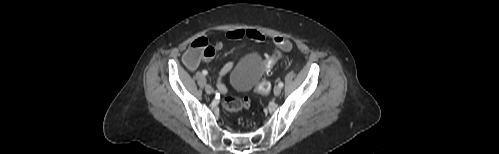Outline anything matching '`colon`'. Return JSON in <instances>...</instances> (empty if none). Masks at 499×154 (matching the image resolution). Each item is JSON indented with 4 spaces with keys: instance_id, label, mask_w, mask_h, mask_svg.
I'll use <instances>...</instances> for the list:
<instances>
[{
    "instance_id": "5ec220e1",
    "label": "colon",
    "mask_w": 499,
    "mask_h": 154,
    "mask_svg": "<svg viewBox=\"0 0 499 154\" xmlns=\"http://www.w3.org/2000/svg\"><path fill=\"white\" fill-rule=\"evenodd\" d=\"M273 42L276 46V53L274 57L267 58L264 62L265 71L268 73L274 63L283 56L285 52L292 49V43L283 37H275ZM215 50L209 45L208 41L203 38H197L191 42L185 55L184 60L188 66L197 65L203 59H210L214 56ZM255 91L261 96H267L270 91V84L266 81L258 83ZM223 106L228 111H241L250 107V100L245 98H236L228 96L223 101Z\"/></svg>"
}]
</instances>
